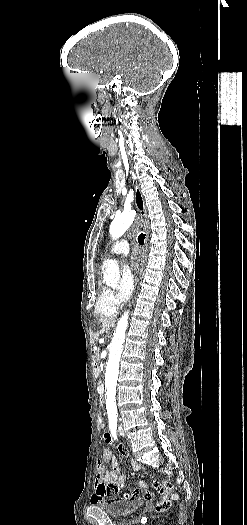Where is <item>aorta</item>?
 I'll list each match as a JSON object with an SVG mask.
<instances>
[{"label":"aorta","instance_id":"762f6f07","mask_svg":"<svg viewBox=\"0 0 247 525\" xmlns=\"http://www.w3.org/2000/svg\"><path fill=\"white\" fill-rule=\"evenodd\" d=\"M136 212L128 210L117 216L110 225V235L113 239L122 236L133 223ZM103 279L106 285L113 288L118 286L120 280L119 267L113 260H107L106 268L103 273ZM128 312L120 318L117 328L113 334L112 341L109 345V358L106 367L105 375V390H106V409L109 421H117V406H116V386L119 374V362L122 353V346L125 340V332L128 327Z\"/></svg>","mask_w":247,"mask_h":525}]
</instances>
